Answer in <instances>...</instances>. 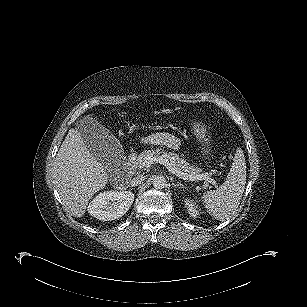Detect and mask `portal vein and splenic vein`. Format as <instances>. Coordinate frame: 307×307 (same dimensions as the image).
I'll use <instances>...</instances> for the list:
<instances>
[{
    "instance_id": "18ae733b",
    "label": "portal vein and splenic vein",
    "mask_w": 307,
    "mask_h": 307,
    "mask_svg": "<svg viewBox=\"0 0 307 307\" xmlns=\"http://www.w3.org/2000/svg\"><path fill=\"white\" fill-rule=\"evenodd\" d=\"M159 162L161 164H165L168 168V170L175 174L176 176H178L179 178L183 179V180H205L211 184H213L215 187H218V184L216 183V181L214 179L211 178L210 175L208 174H199V175H188L184 172H182L181 170L177 169L176 167H174L171 163H169L167 160L163 159L162 157L160 158H155L151 155L146 156L143 159V166L145 167H149L151 166V164H153L154 162Z\"/></svg>"
}]
</instances>
